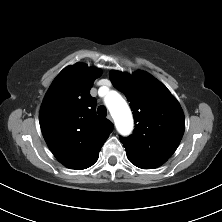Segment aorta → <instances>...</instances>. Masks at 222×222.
<instances>
[{
	"mask_svg": "<svg viewBox=\"0 0 222 222\" xmlns=\"http://www.w3.org/2000/svg\"><path fill=\"white\" fill-rule=\"evenodd\" d=\"M105 104L109 109L117 130L122 135H127L133 127V118L126 101L115 91L105 97Z\"/></svg>",
	"mask_w": 222,
	"mask_h": 222,
	"instance_id": "aorta-1",
	"label": "aorta"
}]
</instances>
